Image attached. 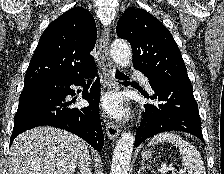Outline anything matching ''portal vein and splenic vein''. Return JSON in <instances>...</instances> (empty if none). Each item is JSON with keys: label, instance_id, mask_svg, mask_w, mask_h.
<instances>
[{"label": "portal vein and splenic vein", "instance_id": "18ae733b", "mask_svg": "<svg viewBox=\"0 0 224 174\" xmlns=\"http://www.w3.org/2000/svg\"><path fill=\"white\" fill-rule=\"evenodd\" d=\"M174 170H175L174 168L162 166L161 169L159 170V172L164 174V173H167L169 171H174ZM182 173H184V171L180 170L179 174H182Z\"/></svg>", "mask_w": 224, "mask_h": 174}]
</instances>
